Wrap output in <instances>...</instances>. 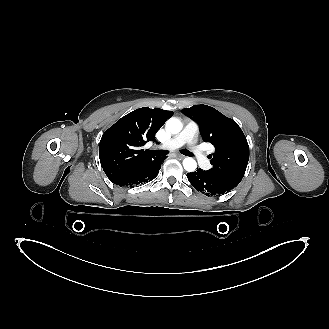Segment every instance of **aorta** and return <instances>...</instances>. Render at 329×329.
Returning a JSON list of instances; mask_svg holds the SVG:
<instances>
[{
  "instance_id": "aorta-1",
  "label": "aorta",
  "mask_w": 329,
  "mask_h": 329,
  "mask_svg": "<svg viewBox=\"0 0 329 329\" xmlns=\"http://www.w3.org/2000/svg\"><path fill=\"white\" fill-rule=\"evenodd\" d=\"M166 130L172 134H177L182 130V122L172 117L166 122ZM183 167L187 172H194L197 168V163L193 158L187 157L183 160Z\"/></svg>"
}]
</instances>
